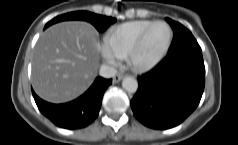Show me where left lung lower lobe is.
I'll use <instances>...</instances> for the list:
<instances>
[{
    "mask_svg": "<svg viewBox=\"0 0 238 145\" xmlns=\"http://www.w3.org/2000/svg\"><path fill=\"white\" fill-rule=\"evenodd\" d=\"M174 41L189 38L190 31L170 20ZM138 90L131 100L135 117L152 129H169L182 123L198 106L205 86V66L197 41L169 50L165 59L138 77Z\"/></svg>",
    "mask_w": 238,
    "mask_h": 145,
    "instance_id": "left-lung-lower-lobe-1",
    "label": "left lung lower lobe"
}]
</instances>
